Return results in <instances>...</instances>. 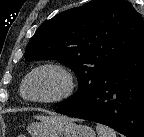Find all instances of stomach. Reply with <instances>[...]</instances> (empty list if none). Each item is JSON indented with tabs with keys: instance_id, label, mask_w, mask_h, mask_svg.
I'll list each match as a JSON object with an SVG mask.
<instances>
[{
	"instance_id": "0dacf381",
	"label": "stomach",
	"mask_w": 144,
	"mask_h": 137,
	"mask_svg": "<svg viewBox=\"0 0 144 137\" xmlns=\"http://www.w3.org/2000/svg\"><path fill=\"white\" fill-rule=\"evenodd\" d=\"M31 137H95L94 130L86 125H78L65 116L31 123L27 127Z\"/></svg>"
}]
</instances>
